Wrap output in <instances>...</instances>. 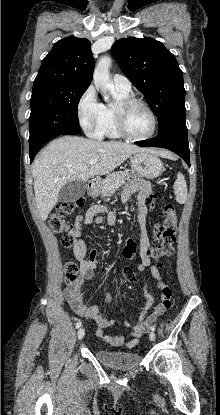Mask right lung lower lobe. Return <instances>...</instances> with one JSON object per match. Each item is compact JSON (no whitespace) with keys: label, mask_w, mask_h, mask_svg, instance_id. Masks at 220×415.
Here are the masks:
<instances>
[{"label":"right lung lower lobe","mask_w":220,"mask_h":415,"mask_svg":"<svg viewBox=\"0 0 220 415\" xmlns=\"http://www.w3.org/2000/svg\"><path fill=\"white\" fill-rule=\"evenodd\" d=\"M80 132V130H78V131H74V133L73 134H78ZM42 146H40L39 148H36V149H34V150H32V151H30V154H29V156H30V162H32L33 161V159H34V157H35V155H36V153L40 150V148H41Z\"/></svg>","instance_id":"1"}]
</instances>
